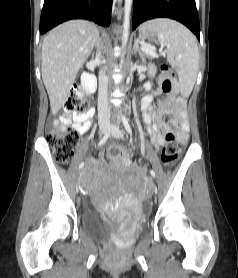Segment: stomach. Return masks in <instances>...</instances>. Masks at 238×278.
<instances>
[{
  "mask_svg": "<svg viewBox=\"0 0 238 278\" xmlns=\"http://www.w3.org/2000/svg\"><path fill=\"white\" fill-rule=\"evenodd\" d=\"M139 37L141 39H147L149 41H155V38L157 37V33L150 30L147 27H140L139 29Z\"/></svg>",
  "mask_w": 238,
  "mask_h": 278,
  "instance_id": "obj_1",
  "label": "stomach"
}]
</instances>
